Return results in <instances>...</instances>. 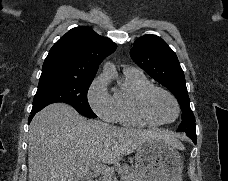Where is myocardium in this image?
I'll use <instances>...</instances> for the list:
<instances>
[{"mask_svg":"<svg viewBox=\"0 0 228 181\" xmlns=\"http://www.w3.org/2000/svg\"><path fill=\"white\" fill-rule=\"evenodd\" d=\"M155 91H158V92H161L162 94H164L165 96H167L169 98V100L171 101L172 103V106H173V109H174V114L176 115L177 112H178V106H177V103L174 99V97L169 93L167 92L166 90L164 89H161V88H158V87H149L145 90H143L139 96V100L137 102V111L139 113V115L144 119L146 120L147 122H150V123H154V124H165V123H168L170 122L172 119H168V120H156L154 119L149 110H148V107H147V98L148 96L152 93V92H155Z\"/></svg>","mask_w":228,"mask_h":181,"instance_id":"myocardium-1","label":"myocardium"}]
</instances>
